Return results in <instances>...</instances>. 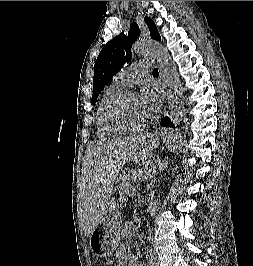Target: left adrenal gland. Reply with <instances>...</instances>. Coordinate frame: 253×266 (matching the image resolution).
<instances>
[{
    "label": "left adrenal gland",
    "instance_id": "left-adrenal-gland-1",
    "mask_svg": "<svg viewBox=\"0 0 253 266\" xmlns=\"http://www.w3.org/2000/svg\"><path fill=\"white\" fill-rule=\"evenodd\" d=\"M153 183H154V182H153V179H149V185H148V186H149V187H150V186L153 187Z\"/></svg>",
    "mask_w": 253,
    "mask_h": 266
}]
</instances>
